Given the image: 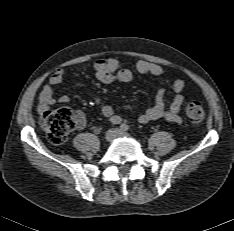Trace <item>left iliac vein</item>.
I'll list each match as a JSON object with an SVG mask.
<instances>
[{"label":"left iliac vein","instance_id":"left-iliac-vein-1","mask_svg":"<svg viewBox=\"0 0 234 231\" xmlns=\"http://www.w3.org/2000/svg\"><path fill=\"white\" fill-rule=\"evenodd\" d=\"M119 137H128L129 134L122 131V130H118V134H117Z\"/></svg>","mask_w":234,"mask_h":231}]
</instances>
